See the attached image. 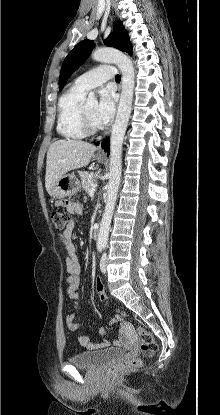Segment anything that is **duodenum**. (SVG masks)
<instances>
[{
	"instance_id": "obj_1",
	"label": "duodenum",
	"mask_w": 220,
	"mask_h": 415,
	"mask_svg": "<svg viewBox=\"0 0 220 415\" xmlns=\"http://www.w3.org/2000/svg\"><path fill=\"white\" fill-rule=\"evenodd\" d=\"M100 227L99 224L95 225L92 231V235L94 238H97L99 236Z\"/></svg>"
}]
</instances>
